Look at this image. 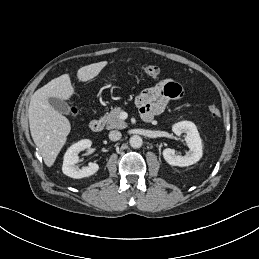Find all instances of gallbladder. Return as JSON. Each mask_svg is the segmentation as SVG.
<instances>
[{
	"label": "gallbladder",
	"instance_id": "bac80fb5",
	"mask_svg": "<svg viewBox=\"0 0 259 259\" xmlns=\"http://www.w3.org/2000/svg\"><path fill=\"white\" fill-rule=\"evenodd\" d=\"M48 100H49L50 105L55 110L60 112L61 114H64V115H70L71 114L69 105L65 101H63L62 99L49 98Z\"/></svg>",
	"mask_w": 259,
	"mask_h": 259
}]
</instances>
